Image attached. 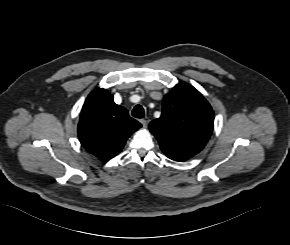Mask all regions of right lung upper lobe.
<instances>
[{"label": "right lung upper lobe", "mask_w": 290, "mask_h": 245, "mask_svg": "<svg viewBox=\"0 0 290 245\" xmlns=\"http://www.w3.org/2000/svg\"><path fill=\"white\" fill-rule=\"evenodd\" d=\"M141 124L127 110L114 103L113 95L102 88L87 97L80 115L78 137L82 146L101 160L116 156L128 137Z\"/></svg>", "instance_id": "obj_1"}]
</instances>
